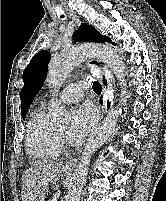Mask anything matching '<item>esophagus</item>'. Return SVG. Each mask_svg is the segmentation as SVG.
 Here are the masks:
<instances>
[{"instance_id":"obj_1","label":"esophagus","mask_w":166,"mask_h":201,"mask_svg":"<svg viewBox=\"0 0 166 201\" xmlns=\"http://www.w3.org/2000/svg\"><path fill=\"white\" fill-rule=\"evenodd\" d=\"M69 15L75 20L76 25L79 26L81 20L79 17L71 10H68ZM86 66L91 71L93 77L99 81L102 85V93L98 97L97 106L101 113V119L106 115L107 100L106 97L109 94L110 90L114 87V83L111 79L106 77V67L103 66L100 60L98 59H88L86 60ZM77 159H71L67 162L68 165H75Z\"/></svg>"}]
</instances>
